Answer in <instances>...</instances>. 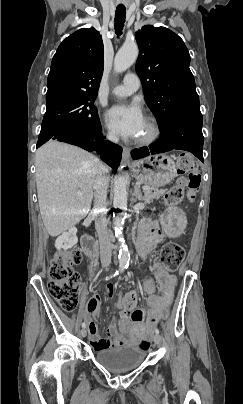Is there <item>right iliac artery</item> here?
<instances>
[{
	"instance_id": "1",
	"label": "right iliac artery",
	"mask_w": 243,
	"mask_h": 404,
	"mask_svg": "<svg viewBox=\"0 0 243 404\" xmlns=\"http://www.w3.org/2000/svg\"><path fill=\"white\" fill-rule=\"evenodd\" d=\"M115 275H117V272L114 274V275H112L111 277H113V276H115ZM108 279V277H106V280ZM86 327V324L85 323H82V328H85Z\"/></svg>"
}]
</instances>
